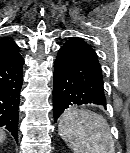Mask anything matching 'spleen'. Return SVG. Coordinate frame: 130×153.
<instances>
[{"instance_id":"obj_1","label":"spleen","mask_w":130,"mask_h":153,"mask_svg":"<svg viewBox=\"0 0 130 153\" xmlns=\"http://www.w3.org/2000/svg\"><path fill=\"white\" fill-rule=\"evenodd\" d=\"M58 130L75 153H115L112 134L101 115L69 108L62 114Z\"/></svg>"}]
</instances>
